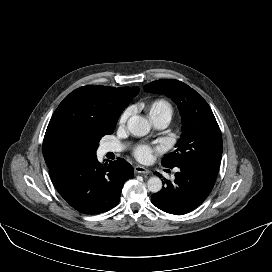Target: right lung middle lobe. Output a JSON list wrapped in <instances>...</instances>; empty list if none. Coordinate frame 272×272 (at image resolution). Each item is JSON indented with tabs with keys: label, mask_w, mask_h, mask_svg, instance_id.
<instances>
[{
	"label": "right lung middle lobe",
	"mask_w": 272,
	"mask_h": 272,
	"mask_svg": "<svg viewBox=\"0 0 272 272\" xmlns=\"http://www.w3.org/2000/svg\"><path fill=\"white\" fill-rule=\"evenodd\" d=\"M99 140H100V139H98V140L95 142V144H94L93 148L91 149V151H89V153H88L87 155H93V154H96V150H97L98 145H99Z\"/></svg>",
	"instance_id": "right-lung-middle-lobe-1"
}]
</instances>
